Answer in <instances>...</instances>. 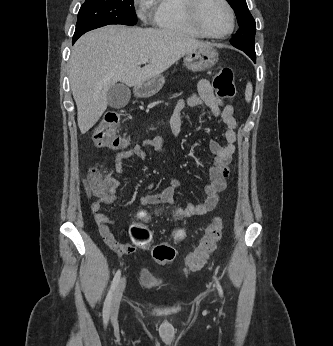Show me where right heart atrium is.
<instances>
[{
    "label": "right heart atrium",
    "mask_w": 333,
    "mask_h": 346,
    "mask_svg": "<svg viewBox=\"0 0 333 346\" xmlns=\"http://www.w3.org/2000/svg\"><path fill=\"white\" fill-rule=\"evenodd\" d=\"M137 14L143 21H148L157 8L159 0H134Z\"/></svg>",
    "instance_id": "1"
}]
</instances>
